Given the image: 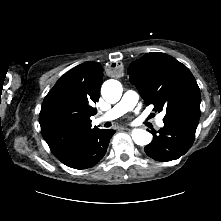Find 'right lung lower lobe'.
Instances as JSON below:
<instances>
[{
	"mask_svg": "<svg viewBox=\"0 0 221 221\" xmlns=\"http://www.w3.org/2000/svg\"><path fill=\"white\" fill-rule=\"evenodd\" d=\"M114 133V130L97 128L58 159L65 165L75 169L93 167L104 157Z\"/></svg>",
	"mask_w": 221,
	"mask_h": 221,
	"instance_id": "98d812e1",
	"label": "right lung lower lobe"
}]
</instances>
